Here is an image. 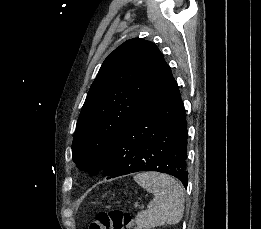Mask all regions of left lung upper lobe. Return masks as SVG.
<instances>
[{
	"label": "left lung upper lobe",
	"instance_id": "5c2ea615",
	"mask_svg": "<svg viewBox=\"0 0 261 229\" xmlns=\"http://www.w3.org/2000/svg\"><path fill=\"white\" fill-rule=\"evenodd\" d=\"M171 77L154 43L134 38L116 48L103 62L77 121L72 156L78 168L96 175L129 121Z\"/></svg>",
	"mask_w": 261,
	"mask_h": 229
}]
</instances>
